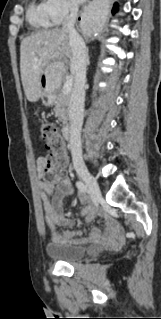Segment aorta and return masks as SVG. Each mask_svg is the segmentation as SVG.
Instances as JSON below:
<instances>
[{"instance_id": "aorta-1", "label": "aorta", "mask_w": 161, "mask_h": 319, "mask_svg": "<svg viewBox=\"0 0 161 319\" xmlns=\"http://www.w3.org/2000/svg\"><path fill=\"white\" fill-rule=\"evenodd\" d=\"M91 27H92V29H96V28H97V24L94 23V22H92V23H91Z\"/></svg>"}]
</instances>
